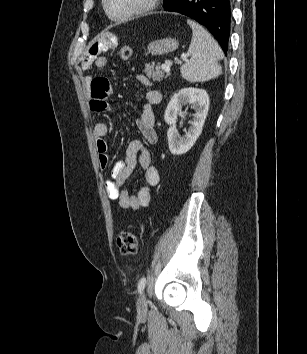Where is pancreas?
I'll return each instance as SVG.
<instances>
[{
  "mask_svg": "<svg viewBox=\"0 0 307 354\" xmlns=\"http://www.w3.org/2000/svg\"><path fill=\"white\" fill-rule=\"evenodd\" d=\"M143 72L153 81H161L163 78H166L167 75L164 74L163 65L158 63L157 65L146 64Z\"/></svg>",
  "mask_w": 307,
  "mask_h": 354,
  "instance_id": "cf45deb5",
  "label": "pancreas"
}]
</instances>
